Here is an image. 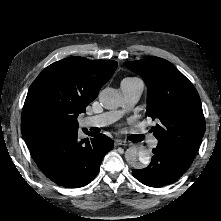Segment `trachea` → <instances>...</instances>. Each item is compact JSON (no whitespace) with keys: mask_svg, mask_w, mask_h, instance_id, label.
I'll return each instance as SVG.
<instances>
[{"mask_svg":"<svg viewBox=\"0 0 221 221\" xmlns=\"http://www.w3.org/2000/svg\"><path fill=\"white\" fill-rule=\"evenodd\" d=\"M144 138L143 135L139 134V135H134V140L137 141V142H140L142 141Z\"/></svg>","mask_w":221,"mask_h":221,"instance_id":"obj_1","label":"trachea"}]
</instances>
